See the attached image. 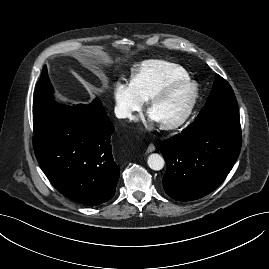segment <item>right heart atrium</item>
<instances>
[{
	"instance_id": "d8ad5b80",
	"label": "right heart atrium",
	"mask_w": 269,
	"mask_h": 269,
	"mask_svg": "<svg viewBox=\"0 0 269 269\" xmlns=\"http://www.w3.org/2000/svg\"><path fill=\"white\" fill-rule=\"evenodd\" d=\"M112 96L115 113L120 119L133 120L145 104L132 83L126 81L119 80L114 84Z\"/></svg>"
}]
</instances>
